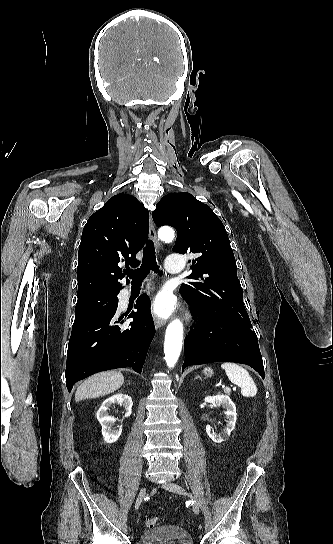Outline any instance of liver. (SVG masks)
I'll list each match as a JSON object with an SVG mask.
<instances>
[{
	"mask_svg": "<svg viewBox=\"0 0 333 544\" xmlns=\"http://www.w3.org/2000/svg\"><path fill=\"white\" fill-rule=\"evenodd\" d=\"M124 383V376L121 372L107 371L94 374L86 379L75 393L76 402L107 395L119 389Z\"/></svg>",
	"mask_w": 333,
	"mask_h": 544,
	"instance_id": "obj_1",
	"label": "liver"
}]
</instances>
